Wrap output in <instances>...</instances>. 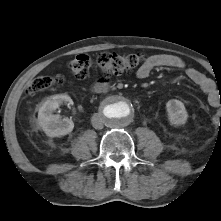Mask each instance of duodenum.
Returning a JSON list of instances; mask_svg holds the SVG:
<instances>
[{
  "instance_id": "duodenum-1",
  "label": "duodenum",
  "mask_w": 221,
  "mask_h": 221,
  "mask_svg": "<svg viewBox=\"0 0 221 221\" xmlns=\"http://www.w3.org/2000/svg\"><path fill=\"white\" fill-rule=\"evenodd\" d=\"M108 85L105 82H97L92 86L95 93H103L107 90Z\"/></svg>"
}]
</instances>
